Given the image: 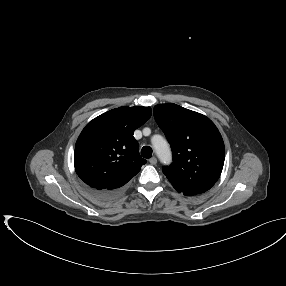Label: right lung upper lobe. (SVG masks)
<instances>
[{
  "instance_id": "obj_1",
  "label": "right lung upper lobe",
  "mask_w": 286,
  "mask_h": 286,
  "mask_svg": "<svg viewBox=\"0 0 286 286\" xmlns=\"http://www.w3.org/2000/svg\"><path fill=\"white\" fill-rule=\"evenodd\" d=\"M152 114L150 107H119L90 121L77 139L75 170L88 187L121 191L146 163L134 130Z\"/></svg>"
}]
</instances>
